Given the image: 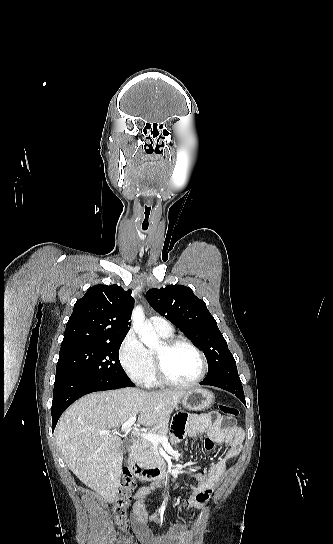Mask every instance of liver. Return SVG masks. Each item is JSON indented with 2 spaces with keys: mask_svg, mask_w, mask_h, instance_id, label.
Segmentation results:
<instances>
[{
  "mask_svg": "<svg viewBox=\"0 0 333 544\" xmlns=\"http://www.w3.org/2000/svg\"><path fill=\"white\" fill-rule=\"evenodd\" d=\"M185 390L147 392L124 388L84 396L61 416L55 437L69 469L88 487L112 503L120 486L123 456L114 432L132 416L151 427L166 420ZM102 431L111 432L102 435Z\"/></svg>",
  "mask_w": 333,
  "mask_h": 544,
  "instance_id": "6515ba94",
  "label": "liver"
}]
</instances>
